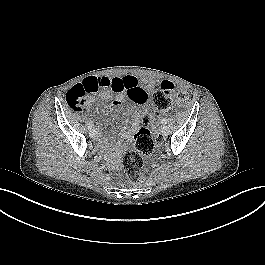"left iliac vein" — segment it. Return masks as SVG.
Wrapping results in <instances>:
<instances>
[{"instance_id":"obj_1","label":"left iliac vein","mask_w":265,"mask_h":265,"mask_svg":"<svg viewBox=\"0 0 265 265\" xmlns=\"http://www.w3.org/2000/svg\"><path fill=\"white\" fill-rule=\"evenodd\" d=\"M161 132H162V134L164 136H167L169 134V132H170L169 127L167 125H163L162 129H161Z\"/></svg>"}]
</instances>
